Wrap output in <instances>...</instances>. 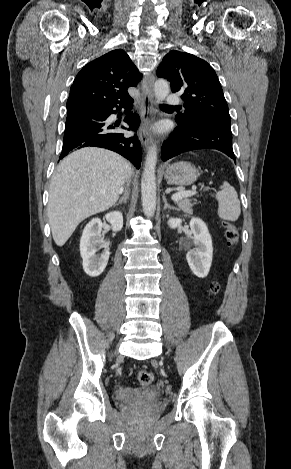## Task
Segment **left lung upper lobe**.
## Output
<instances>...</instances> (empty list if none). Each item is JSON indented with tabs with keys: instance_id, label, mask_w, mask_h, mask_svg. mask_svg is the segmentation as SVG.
<instances>
[{
	"instance_id": "left-lung-upper-lobe-1",
	"label": "left lung upper lobe",
	"mask_w": 291,
	"mask_h": 469,
	"mask_svg": "<svg viewBox=\"0 0 291 469\" xmlns=\"http://www.w3.org/2000/svg\"><path fill=\"white\" fill-rule=\"evenodd\" d=\"M157 76L170 81L172 92H180L185 112L176 116L178 125L196 119L230 125L228 105L214 69L204 60L176 50L163 58Z\"/></svg>"
}]
</instances>
